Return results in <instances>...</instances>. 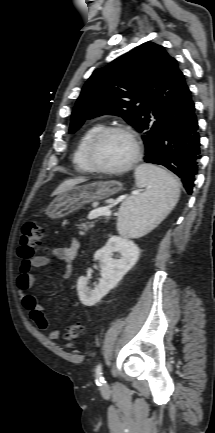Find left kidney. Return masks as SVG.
I'll list each match as a JSON object with an SVG mask.
<instances>
[{"label": "left kidney", "instance_id": "obj_1", "mask_svg": "<svg viewBox=\"0 0 215 433\" xmlns=\"http://www.w3.org/2000/svg\"><path fill=\"white\" fill-rule=\"evenodd\" d=\"M117 252L118 257L113 258ZM140 255V249L131 240L120 236H111L106 245L99 249L94 260L100 261L101 280L93 290L87 287L88 278L81 276L77 281V292L81 303L93 306L101 300L123 276L133 267Z\"/></svg>", "mask_w": 215, "mask_h": 433}]
</instances>
